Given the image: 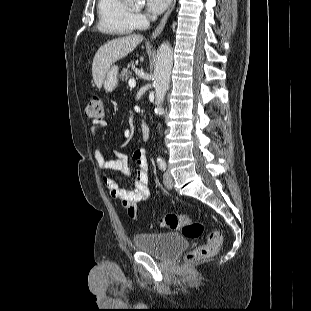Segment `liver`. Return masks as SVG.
<instances>
[{
    "mask_svg": "<svg viewBox=\"0 0 311 311\" xmlns=\"http://www.w3.org/2000/svg\"><path fill=\"white\" fill-rule=\"evenodd\" d=\"M142 41V35L134 34L114 39L98 49L92 63L93 80L98 89L102 87L105 75L110 67L134 51Z\"/></svg>",
    "mask_w": 311,
    "mask_h": 311,
    "instance_id": "1",
    "label": "liver"
}]
</instances>
